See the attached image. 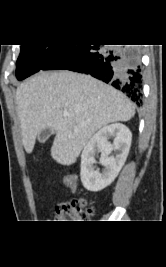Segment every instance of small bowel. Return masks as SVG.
Here are the masks:
<instances>
[{
    "instance_id": "small-bowel-1",
    "label": "small bowel",
    "mask_w": 166,
    "mask_h": 267,
    "mask_svg": "<svg viewBox=\"0 0 166 267\" xmlns=\"http://www.w3.org/2000/svg\"><path fill=\"white\" fill-rule=\"evenodd\" d=\"M66 185H67L71 190H73V191L76 190V182H75V180H68V179L66 178Z\"/></svg>"
}]
</instances>
